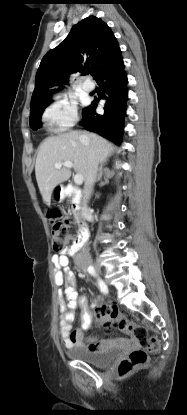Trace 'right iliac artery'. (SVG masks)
Masks as SVG:
<instances>
[{
    "label": "right iliac artery",
    "mask_w": 187,
    "mask_h": 415,
    "mask_svg": "<svg viewBox=\"0 0 187 415\" xmlns=\"http://www.w3.org/2000/svg\"><path fill=\"white\" fill-rule=\"evenodd\" d=\"M87 270L91 275L97 277L95 269H94L93 266H89ZM98 285L101 289V292H103L104 294L108 293L107 285L100 278H98Z\"/></svg>",
    "instance_id": "obj_1"
}]
</instances>
